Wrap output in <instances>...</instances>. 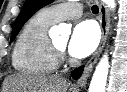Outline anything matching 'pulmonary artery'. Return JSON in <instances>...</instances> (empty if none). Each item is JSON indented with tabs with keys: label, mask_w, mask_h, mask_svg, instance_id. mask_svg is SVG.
I'll return each instance as SVG.
<instances>
[{
	"label": "pulmonary artery",
	"mask_w": 127,
	"mask_h": 92,
	"mask_svg": "<svg viewBox=\"0 0 127 92\" xmlns=\"http://www.w3.org/2000/svg\"><path fill=\"white\" fill-rule=\"evenodd\" d=\"M82 11V4L76 1L59 3L46 9V12L57 22L65 19L78 18L81 16Z\"/></svg>",
	"instance_id": "1"
}]
</instances>
